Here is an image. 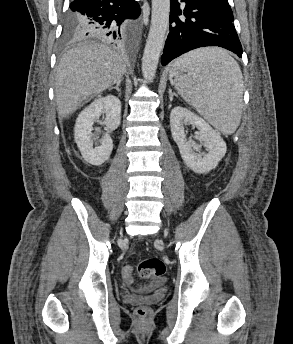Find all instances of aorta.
Here are the masks:
<instances>
[{
  "label": "aorta",
  "instance_id": "1",
  "mask_svg": "<svg viewBox=\"0 0 293 344\" xmlns=\"http://www.w3.org/2000/svg\"><path fill=\"white\" fill-rule=\"evenodd\" d=\"M170 0H152L151 26L142 57V74L152 82L169 25Z\"/></svg>",
  "mask_w": 293,
  "mask_h": 344
}]
</instances>
